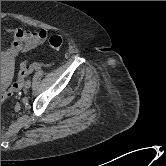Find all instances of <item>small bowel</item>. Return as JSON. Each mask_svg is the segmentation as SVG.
<instances>
[{
	"label": "small bowel",
	"instance_id": "1",
	"mask_svg": "<svg viewBox=\"0 0 166 166\" xmlns=\"http://www.w3.org/2000/svg\"><path fill=\"white\" fill-rule=\"evenodd\" d=\"M5 32L12 36L13 41L7 48L1 50V72L4 76L10 74L14 68L15 58L20 52L35 49L44 43L48 37L46 30L29 31L17 27H8ZM2 45V44H1Z\"/></svg>",
	"mask_w": 166,
	"mask_h": 166
}]
</instances>
